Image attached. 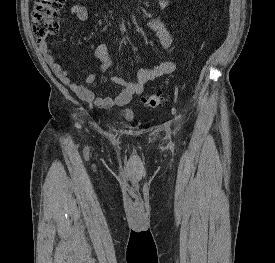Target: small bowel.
I'll list each match as a JSON object with an SVG mask.
<instances>
[{
	"instance_id": "1",
	"label": "small bowel",
	"mask_w": 275,
	"mask_h": 263,
	"mask_svg": "<svg viewBox=\"0 0 275 263\" xmlns=\"http://www.w3.org/2000/svg\"><path fill=\"white\" fill-rule=\"evenodd\" d=\"M168 5V0H160L161 7L164 8ZM88 8L89 6L87 4H74L69 8V12L79 21L86 22L89 19ZM146 26L154 32L163 49L169 50L172 47L173 37L158 17H149L146 21ZM39 50L44 55L45 61L49 65L52 72L64 85L68 86L82 100L92 102L97 107L102 109L127 105L133 96L141 95L144 92V88L147 83L157 78L171 75L176 70V64L173 61L165 60L160 62L154 68H141L138 71L136 81H127L112 73L108 80L112 84L121 86V92L115 98L95 97L94 93L85 84H92L96 82L103 73L112 71L114 66L113 58L106 43L101 42L96 46L95 54L100 60L101 66L97 72L89 74L85 78V84H77L72 81L68 72L56 59L45 41L39 43Z\"/></svg>"
}]
</instances>
